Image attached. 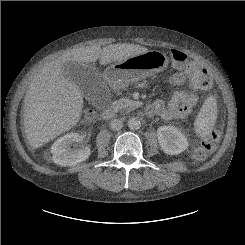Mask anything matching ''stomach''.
I'll use <instances>...</instances> for the list:
<instances>
[{
	"label": "stomach",
	"mask_w": 245,
	"mask_h": 245,
	"mask_svg": "<svg viewBox=\"0 0 245 245\" xmlns=\"http://www.w3.org/2000/svg\"><path fill=\"white\" fill-rule=\"evenodd\" d=\"M168 64L169 59L164 53L147 51L110 65L104 72V78L113 89H122L130 83L164 71Z\"/></svg>",
	"instance_id": "1"
}]
</instances>
